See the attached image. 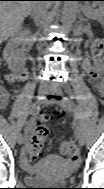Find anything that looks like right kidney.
I'll use <instances>...</instances> for the list:
<instances>
[{
	"label": "right kidney",
	"mask_w": 104,
	"mask_h": 189,
	"mask_svg": "<svg viewBox=\"0 0 104 189\" xmlns=\"http://www.w3.org/2000/svg\"><path fill=\"white\" fill-rule=\"evenodd\" d=\"M28 36V30H21L9 39L4 48L3 58L11 71H18L25 65L26 57L23 45L27 41Z\"/></svg>",
	"instance_id": "1"
}]
</instances>
